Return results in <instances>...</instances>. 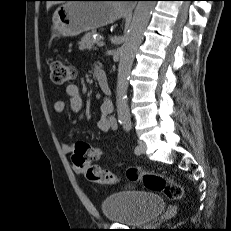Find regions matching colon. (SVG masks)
Here are the masks:
<instances>
[{
	"mask_svg": "<svg viewBox=\"0 0 231 231\" xmlns=\"http://www.w3.org/2000/svg\"><path fill=\"white\" fill-rule=\"evenodd\" d=\"M50 68L51 80L55 85L68 86L73 81L75 71L70 65L55 60ZM102 156L103 152L99 148L83 141L75 143L73 162L76 167L84 169L86 178L100 184H115L118 179L113 172L93 164ZM127 177L130 181L141 180L148 190L163 193L170 199H180L183 196L181 186L163 174L134 167L127 171Z\"/></svg>",
	"mask_w": 231,
	"mask_h": 231,
	"instance_id": "colon-1",
	"label": "colon"
}]
</instances>
